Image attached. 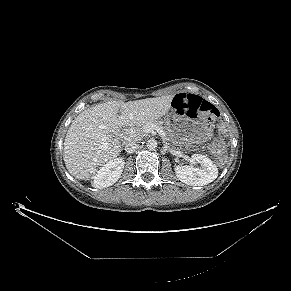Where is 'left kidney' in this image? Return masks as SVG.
I'll use <instances>...</instances> for the list:
<instances>
[{
	"label": "left kidney",
	"instance_id": "5707ae66",
	"mask_svg": "<svg viewBox=\"0 0 291 291\" xmlns=\"http://www.w3.org/2000/svg\"><path fill=\"white\" fill-rule=\"evenodd\" d=\"M191 161L201 164L202 168L177 165L175 174L181 182L191 186H204L217 178V166L205 155L193 154Z\"/></svg>",
	"mask_w": 291,
	"mask_h": 291
}]
</instances>
